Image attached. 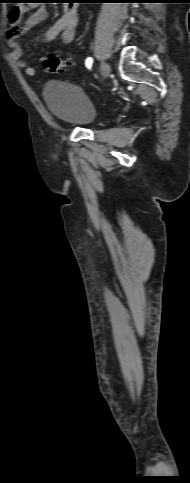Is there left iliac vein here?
I'll list each match as a JSON object with an SVG mask.
<instances>
[{
	"mask_svg": "<svg viewBox=\"0 0 190 483\" xmlns=\"http://www.w3.org/2000/svg\"><path fill=\"white\" fill-rule=\"evenodd\" d=\"M110 71H111L110 65L107 62H104L102 65V72H101L102 77L104 79H107Z\"/></svg>",
	"mask_w": 190,
	"mask_h": 483,
	"instance_id": "4c4485c4",
	"label": "left iliac vein"
}]
</instances>
